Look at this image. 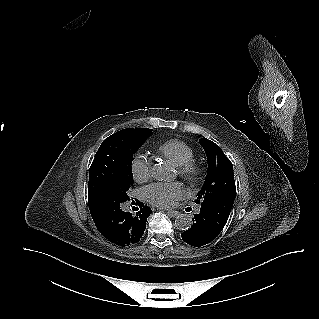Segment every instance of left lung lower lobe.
<instances>
[{"label":"left lung lower lobe","mask_w":319,"mask_h":319,"mask_svg":"<svg viewBox=\"0 0 319 319\" xmlns=\"http://www.w3.org/2000/svg\"><path fill=\"white\" fill-rule=\"evenodd\" d=\"M233 203L234 198L201 203L200 213L194 215L193 225L181 234L182 239L197 247L213 241L224 228Z\"/></svg>","instance_id":"left-lung-lower-lobe-1"}]
</instances>
